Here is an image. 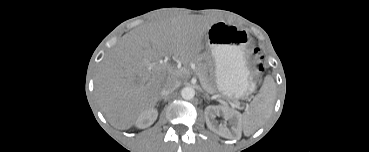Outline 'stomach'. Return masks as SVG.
Wrapping results in <instances>:
<instances>
[{
  "mask_svg": "<svg viewBox=\"0 0 369 152\" xmlns=\"http://www.w3.org/2000/svg\"><path fill=\"white\" fill-rule=\"evenodd\" d=\"M205 40L215 60L218 91L229 98H240L252 92L255 84L245 61L249 35L220 21L208 28Z\"/></svg>",
  "mask_w": 369,
  "mask_h": 152,
  "instance_id": "0dacf381",
  "label": "stomach"
}]
</instances>
